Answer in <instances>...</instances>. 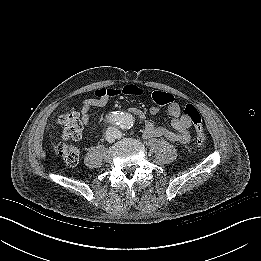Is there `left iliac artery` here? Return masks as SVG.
Instances as JSON below:
<instances>
[{"mask_svg": "<svg viewBox=\"0 0 261 261\" xmlns=\"http://www.w3.org/2000/svg\"><path fill=\"white\" fill-rule=\"evenodd\" d=\"M119 124L122 129H130L133 126V119L128 115H124Z\"/></svg>", "mask_w": 261, "mask_h": 261, "instance_id": "left-iliac-artery-1", "label": "left iliac artery"}]
</instances>
